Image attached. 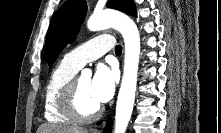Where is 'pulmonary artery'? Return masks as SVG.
<instances>
[{"label": "pulmonary artery", "instance_id": "1", "mask_svg": "<svg viewBox=\"0 0 221 133\" xmlns=\"http://www.w3.org/2000/svg\"><path fill=\"white\" fill-rule=\"evenodd\" d=\"M113 47L114 41L111 35L101 34L67 53L63 60L81 69L86 63L100 58Z\"/></svg>", "mask_w": 221, "mask_h": 133}]
</instances>
